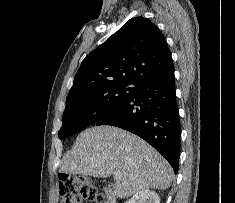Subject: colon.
<instances>
[{
	"mask_svg": "<svg viewBox=\"0 0 235 203\" xmlns=\"http://www.w3.org/2000/svg\"><path fill=\"white\" fill-rule=\"evenodd\" d=\"M58 191L60 203H82L83 200L100 203L102 200L101 195L89 180L69 174L59 175Z\"/></svg>",
	"mask_w": 235,
	"mask_h": 203,
	"instance_id": "colon-1",
	"label": "colon"
}]
</instances>
